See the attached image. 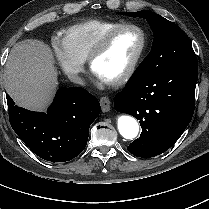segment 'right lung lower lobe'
<instances>
[{
    "label": "right lung lower lobe",
    "mask_w": 209,
    "mask_h": 209,
    "mask_svg": "<svg viewBox=\"0 0 209 209\" xmlns=\"http://www.w3.org/2000/svg\"><path fill=\"white\" fill-rule=\"evenodd\" d=\"M9 120L20 139L37 156L65 162L85 148L89 127L100 113L98 100L83 88H60L46 113L15 105L7 95Z\"/></svg>",
    "instance_id": "1"
}]
</instances>
